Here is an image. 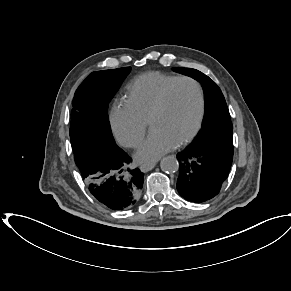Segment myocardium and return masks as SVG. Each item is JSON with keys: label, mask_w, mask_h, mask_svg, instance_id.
Wrapping results in <instances>:
<instances>
[{"label": "myocardium", "mask_w": 291, "mask_h": 291, "mask_svg": "<svg viewBox=\"0 0 291 291\" xmlns=\"http://www.w3.org/2000/svg\"><path fill=\"white\" fill-rule=\"evenodd\" d=\"M182 81L190 82L195 86L199 97V113L197 122L192 131L185 137H183L180 141H178L177 146H183L192 141L197 136L203 125L206 110L205 94L201 84L196 79L190 76H179L176 77L173 81H171L161 92L158 102L153 108L148 120L149 126H151L152 121L165 110L171 90L174 88L176 84Z\"/></svg>", "instance_id": "f54148a6"}]
</instances>
